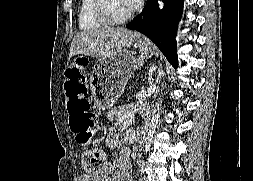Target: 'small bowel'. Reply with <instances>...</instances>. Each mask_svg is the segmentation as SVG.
<instances>
[{"mask_svg":"<svg viewBox=\"0 0 253 181\" xmlns=\"http://www.w3.org/2000/svg\"><path fill=\"white\" fill-rule=\"evenodd\" d=\"M126 108L118 107L110 111L108 117L110 120H116L123 116ZM117 144V136L110 133L106 139V145L109 148H114ZM110 177V181H130V165L126 156H121L117 163H106L104 168L95 175L83 174L80 181H104Z\"/></svg>","mask_w":253,"mask_h":181,"instance_id":"small-bowel-1","label":"small bowel"}]
</instances>
